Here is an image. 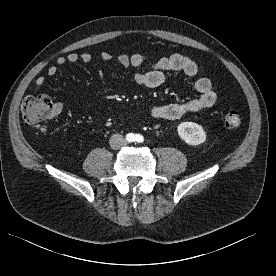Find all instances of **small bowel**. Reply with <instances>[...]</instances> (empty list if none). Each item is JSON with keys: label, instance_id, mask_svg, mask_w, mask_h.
I'll return each mask as SVG.
<instances>
[{"label": "small bowel", "instance_id": "small-bowel-1", "mask_svg": "<svg viewBox=\"0 0 276 276\" xmlns=\"http://www.w3.org/2000/svg\"><path fill=\"white\" fill-rule=\"evenodd\" d=\"M111 60H113V55L108 51L102 52L98 57L89 53L79 54L71 52L65 56L57 57L55 65H50L46 70V74L49 77L55 76L58 72V67L64 66L67 63H106ZM147 60L148 57L143 54H120L116 57L119 65L132 68L141 67ZM166 71L182 72L189 77L195 78L194 86L199 92V96L184 103L154 106L150 110L153 118L169 121L177 120L186 114L197 113L208 109L216 102L217 93L211 81L205 77H197L199 72L197 63L184 54L176 53L159 59L148 72H136L134 74V81L144 87L156 88L164 83ZM100 74L103 76L102 71H100ZM44 83V77H38L34 82L35 89H41ZM60 109L61 105L57 104L56 112L60 111Z\"/></svg>", "mask_w": 276, "mask_h": 276}]
</instances>
